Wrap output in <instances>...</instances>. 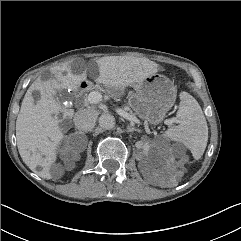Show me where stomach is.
I'll return each mask as SVG.
<instances>
[{
	"instance_id": "obj_1",
	"label": "stomach",
	"mask_w": 241,
	"mask_h": 241,
	"mask_svg": "<svg viewBox=\"0 0 241 241\" xmlns=\"http://www.w3.org/2000/svg\"><path fill=\"white\" fill-rule=\"evenodd\" d=\"M116 95L117 90L111 88ZM176 100V87L166 76L154 74L134 85L128 96V105L146 124L157 125L163 121Z\"/></svg>"
}]
</instances>
